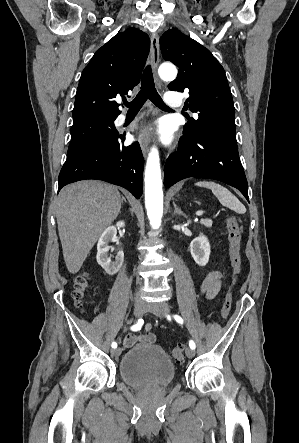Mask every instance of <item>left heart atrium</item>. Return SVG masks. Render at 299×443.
I'll list each match as a JSON object with an SVG mask.
<instances>
[{
	"instance_id": "39dd6f15",
	"label": "left heart atrium",
	"mask_w": 299,
	"mask_h": 443,
	"mask_svg": "<svg viewBox=\"0 0 299 443\" xmlns=\"http://www.w3.org/2000/svg\"><path fill=\"white\" fill-rule=\"evenodd\" d=\"M160 133L165 141H169L171 138L170 127L166 123L160 125Z\"/></svg>"
}]
</instances>
